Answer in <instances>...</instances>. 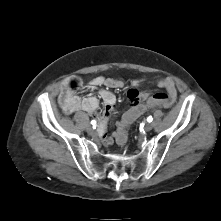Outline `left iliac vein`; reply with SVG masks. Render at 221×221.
Here are the masks:
<instances>
[{"mask_svg":"<svg viewBox=\"0 0 221 221\" xmlns=\"http://www.w3.org/2000/svg\"><path fill=\"white\" fill-rule=\"evenodd\" d=\"M152 128H153L152 124L151 123H147L144 129H145L146 132H149V131L152 130Z\"/></svg>","mask_w":221,"mask_h":221,"instance_id":"1","label":"left iliac vein"}]
</instances>
